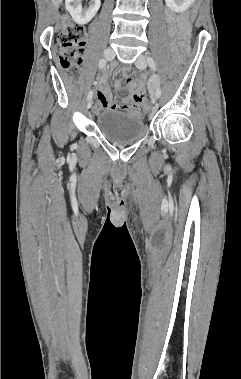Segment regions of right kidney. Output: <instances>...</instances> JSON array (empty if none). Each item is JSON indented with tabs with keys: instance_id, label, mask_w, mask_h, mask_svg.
Listing matches in <instances>:
<instances>
[{
	"instance_id": "ca27d5eb",
	"label": "right kidney",
	"mask_w": 241,
	"mask_h": 379,
	"mask_svg": "<svg viewBox=\"0 0 241 379\" xmlns=\"http://www.w3.org/2000/svg\"><path fill=\"white\" fill-rule=\"evenodd\" d=\"M66 9L79 25L89 23L100 8V0H91L89 7L82 8V0H65Z\"/></svg>"
}]
</instances>
